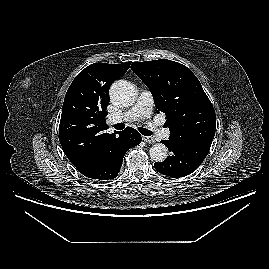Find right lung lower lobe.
I'll return each mask as SVG.
<instances>
[{"instance_id": "98d812e1", "label": "right lung lower lobe", "mask_w": 269, "mask_h": 269, "mask_svg": "<svg viewBox=\"0 0 269 269\" xmlns=\"http://www.w3.org/2000/svg\"><path fill=\"white\" fill-rule=\"evenodd\" d=\"M141 135L128 127L119 132L111 146L101 151L88 164L76 167L84 176L96 180H110L118 176L125 153L140 144Z\"/></svg>"}]
</instances>
